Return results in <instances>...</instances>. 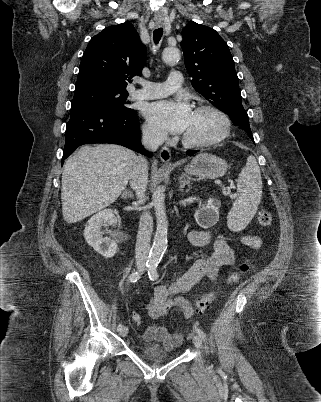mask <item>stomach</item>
<instances>
[{
	"label": "stomach",
	"mask_w": 321,
	"mask_h": 402,
	"mask_svg": "<svg viewBox=\"0 0 321 402\" xmlns=\"http://www.w3.org/2000/svg\"><path fill=\"white\" fill-rule=\"evenodd\" d=\"M225 160L208 153H200L193 157L185 171L191 175H197L209 179L222 177L227 171Z\"/></svg>",
	"instance_id": "obj_1"
}]
</instances>
